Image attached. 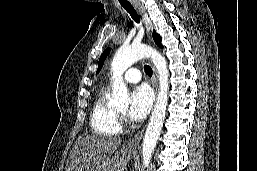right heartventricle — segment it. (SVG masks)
Listing matches in <instances>:
<instances>
[{
	"label": "right heart ventricle",
	"mask_w": 257,
	"mask_h": 171,
	"mask_svg": "<svg viewBox=\"0 0 257 171\" xmlns=\"http://www.w3.org/2000/svg\"><path fill=\"white\" fill-rule=\"evenodd\" d=\"M107 94L106 89L98 93L90 114V126L98 135L118 136L121 133L118 113L109 105Z\"/></svg>",
	"instance_id": "1"
}]
</instances>
